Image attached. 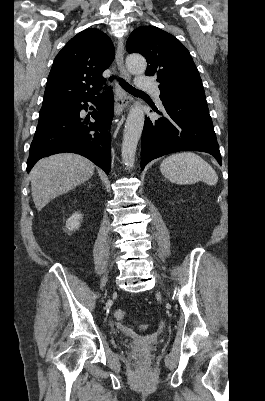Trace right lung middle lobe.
<instances>
[{
    "label": "right lung middle lobe",
    "mask_w": 265,
    "mask_h": 401,
    "mask_svg": "<svg viewBox=\"0 0 265 401\" xmlns=\"http://www.w3.org/2000/svg\"><path fill=\"white\" fill-rule=\"evenodd\" d=\"M76 102H63L42 106L40 114L51 110H67L70 109Z\"/></svg>",
    "instance_id": "dd1d6c3e"
}]
</instances>
